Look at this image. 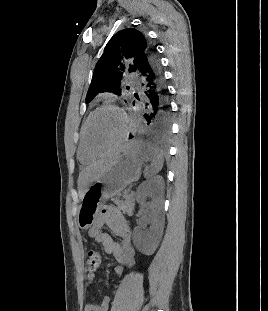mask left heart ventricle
I'll return each instance as SVG.
<instances>
[{"instance_id": "b2bd125f", "label": "left heart ventricle", "mask_w": 268, "mask_h": 311, "mask_svg": "<svg viewBox=\"0 0 268 311\" xmlns=\"http://www.w3.org/2000/svg\"><path fill=\"white\" fill-rule=\"evenodd\" d=\"M123 122L120 115L111 109H104L95 114L89 122L87 140L96 152L111 148L122 133Z\"/></svg>"}]
</instances>
